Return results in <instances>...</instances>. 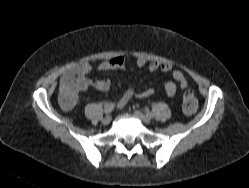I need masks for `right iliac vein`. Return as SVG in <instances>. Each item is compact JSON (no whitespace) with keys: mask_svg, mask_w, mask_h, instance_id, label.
Listing matches in <instances>:
<instances>
[{"mask_svg":"<svg viewBox=\"0 0 249 188\" xmlns=\"http://www.w3.org/2000/svg\"><path fill=\"white\" fill-rule=\"evenodd\" d=\"M112 118L111 116H106L103 120H102V124L103 125H108L111 122Z\"/></svg>","mask_w":249,"mask_h":188,"instance_id":"obj_1","label":"right iliac vein"}]
</instances>
